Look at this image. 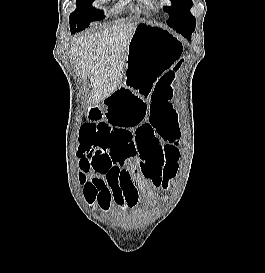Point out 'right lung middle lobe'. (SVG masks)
<instances>
[{"label":"right lung middle lobe","instance_id":"obj_1","mask_svg":"<svg viewBox=\"0 0 265 273\" xmlns=\"http://www.w3.org/2000/svg\"><path fill=\"white\" fill-rule=\"evenodd\" d=\"M93 0H77V9L70 15L71 33L80 31L95 20L105 18L102 11L91 6Z\"/></svg>","mask_w":265,"mask_h":273}]
</instances>
